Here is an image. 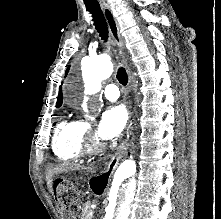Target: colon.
<instances>
[{
	"mask_svg": "<svg viewBox=\"0 0 221 219\" xmlns=\"http://www.w3.org/2000/svg\"><path fill=\"white\" fill-rule=\"evenodd\" d=\"M57 191L58 193L63 197V199H67L70 200L72 202L76 201V192L70 188L68 185L66 184H59L57 186Z\"/></svg>",
	"mask_w": 221,
	"mask_h": 219,
	"instance_id": "1",
	"label": "colon"
}]
</instances>
